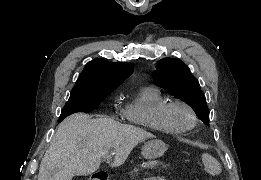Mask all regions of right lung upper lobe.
<instances>
[{
    "label": "right lung upper lobe",
    "instance_id": "cb5924a9",
    "mask_svg": "<svg viewBox=\"0 0 261 180\" xmlns=\"http://www.w3.org/2000/svg\"><path fill=\"white\" fill-rule=\"evenodd\" d=\"M133 69V65L128 62L95 59L86 64L72 92L110 94L133 73Z\"/></svg>",
    "mask_w": 261,
    "mask_h": 180
}]
</instances>
